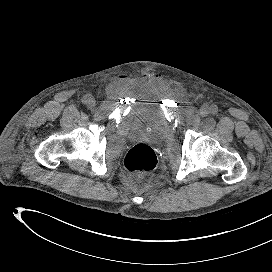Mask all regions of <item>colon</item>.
Here are the masks:
<instances>
[{
  "label": "colon",
  "instance_id": "5ec220e1",
  "mask_svg": "<svg viewBox=\"0 0 272 272\" xmlns=\"http://www.w3.org/2000/svg\"><path fill=\"white\" fill-rule=\"evenodd\" d=\"M124 165L130 172H146L156 167L157 157L150 146L137 144L126 154Z\"/></svg>",
  "mask_w": 272,
  "mask_h": 272
}]
</instances>
